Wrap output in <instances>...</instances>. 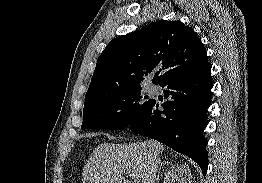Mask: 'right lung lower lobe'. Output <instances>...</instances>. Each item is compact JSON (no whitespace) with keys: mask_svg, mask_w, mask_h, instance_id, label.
<instances>
[{"mask_svg":"<svg viewBox=\"0 0 262 183\" xmlns=\"http://www.w3.org/2000/svg\"><path fill=\"white\" fill-rule=\"evenodd\" d=\"M211 64L173 75L161 83L165 87L160 103L150 105L128 126L133 132L158 140L194 160L206 174L208 124L206 111L211 104Z\"/></svg>","mask_w":262,"mask_h":183,"instance_id":"98d812e1","label":"right lung lower lobe"}]
</instances>
